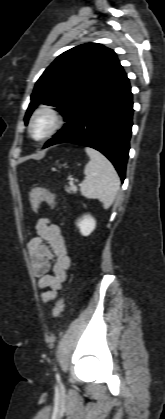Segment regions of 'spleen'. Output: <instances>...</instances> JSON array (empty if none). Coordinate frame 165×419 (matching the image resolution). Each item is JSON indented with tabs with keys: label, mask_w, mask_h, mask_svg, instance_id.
I'll list each match as a JSON object with an SVG mask.
<instances>
[{
	"label": "spleen",
	"mask_w": 165,
	"mask_h": 419,
	"mask_svg": "<svg viewBox=\"0 0 165 419\" xmlns=\"http://www.w3.org/2000/svg\"><path fill=\"white\" fill-rule=\"evenodd\" d=\"M90 161L85 166V180L80 186L83 196L98 199L105 209L109 208L120 188V179L111 162L99 151L86 147Z\"/></svg>",
	"instance_id": "obj_1"
}]
</instances>
